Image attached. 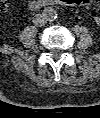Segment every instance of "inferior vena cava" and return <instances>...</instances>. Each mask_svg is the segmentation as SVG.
I'll list each match as a JSON object with an SVG mask.
<instances>
[{
  "label": "inferior vena cava",
  "instance_id": "obj_1",
  "mask_svg": "<svg viewBox=\"0 0 100 118\" xmlns=\"http://www.w3.org/2000/svg\"><path fill=\"white\" fill-rule=\"evenodd\" d=\"M32 22L35 26L42 27L47 23V20L43 14H36L33 17Z\"/></svg>",
  "mask_w": 100,
  "mask_h": 118
}]
</instances>
